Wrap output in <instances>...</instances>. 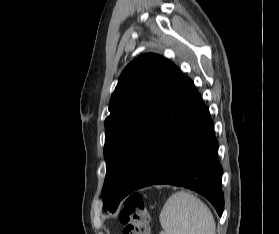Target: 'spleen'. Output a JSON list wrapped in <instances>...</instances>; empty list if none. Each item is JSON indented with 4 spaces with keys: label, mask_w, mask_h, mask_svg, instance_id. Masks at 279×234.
Returning <instances> with one entry per match:
<instances>
[{
    "label": "spleen",
    "mask_w": 279,
    "mask_h": 234,
    "mask_svg": "<svg viewBox=\"0 0 279 234\" xmlns=\"http://www.w3.org/2000/svg\"><path fill=\"white\" fill-rule=\"evenodd\" d=\"M159 221L163 228L160 234H216L210 209L200 199L184 191L168 198Z\"/></svg>",
    "instance_id": "1"
}]
</instances>
